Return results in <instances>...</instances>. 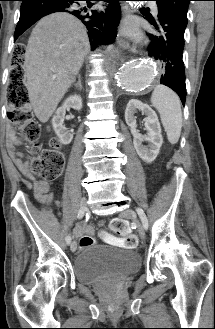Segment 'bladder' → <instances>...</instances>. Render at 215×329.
<instances>
[{
  "instance_id": "31cf9c89",
  "label": "bladder",
  "mask_w": 215,
  "mask_h": 329,
  "mask_svg": "<svg viewBox=\"0 0 215 329\" xmlns=\"http://www.w3.org/2000/svg\"><path fill=\"white\" fill-rule=\"evenodd\" d=\"M140 257L125 249L104 245L86 246L74 261L76 279L90 285L110 275H128L138 271Z\"/></svg>"
}]
</instances>
